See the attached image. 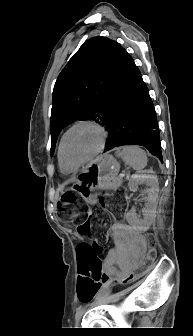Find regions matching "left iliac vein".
Segmentation results:
<instances>
[{"label": "left iliac vein", "instance_id": "left-iliac-vein-1", "mask_svg": "<svg viewBox=\"0 0 193 336\" xmlns=\"http://www.w3.org/2000/svg\"><path fill=\"white\" fill-rule=\"evenodd\" d=\"M80 318H81V317L78 318L77 322H79Z\"/></svg>", "mask_w": 193, "mask_h": 336}]
</instances>
